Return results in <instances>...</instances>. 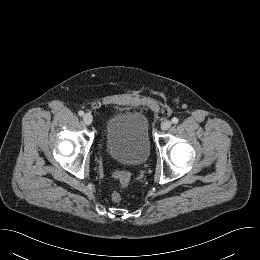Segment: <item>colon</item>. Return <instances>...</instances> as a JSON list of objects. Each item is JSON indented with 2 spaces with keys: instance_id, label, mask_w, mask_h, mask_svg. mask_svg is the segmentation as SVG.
Masks as SVG:
<instances>
[{
  "instance_id": "1",
  "label": "colon",
  "mask_w": 260,
  "mask_h": 260,
  "mask_svg": "<svg viewBox=\"0 0 260 260\" xmlns=\"http://www.w3.org/2000/svg\"><path fill=\"white\" fill-rule=\"evenodd\" d=\"M113 176L119 181L120 187L124 188L128 185L130 175L126 171H114ZM111 200L114 203H119L122 200V196L119 192H113L111 194Z\"/></svg>"
}]
</instances>
